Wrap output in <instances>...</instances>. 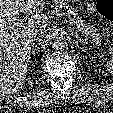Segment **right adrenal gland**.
Wrapping results in <instances>:
<instances>
[{"instance_id":"obj_1","label":"right adrenal gland","mask_w":113,"mask_h":113,"mask_svg":"<svg viewBox=\"0 0 113 113\" xmlns=\"http://www.w3.org/2000/svg\"><path fill=\"white\" fill-rule=\"evenodd\" d=\"M34 41H35V42L33 43V46H32V47H33V49L35 50V49L37 48V46H38V43L40 42V38L37 37V38L34 39Z\"/></svg>"}]
</instances>
